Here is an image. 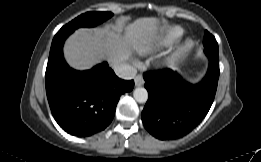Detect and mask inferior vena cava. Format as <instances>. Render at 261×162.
<instances>
[{"label": "inferior vena cava", "instance_id": "1", "mask_svg": "<svg viewBox=\"0 0 261 162\" xmlns=\"http://www.w3.org/2000/svg\"><path fill=\"white\" fill-rule=\"evenodd\" d=\"M115 74L122 79H133L137 74V69L134 65L128 63H120L113 66Z\"/></svg>", "mask_w": 261, "mask_h": 162}]
</instances>
